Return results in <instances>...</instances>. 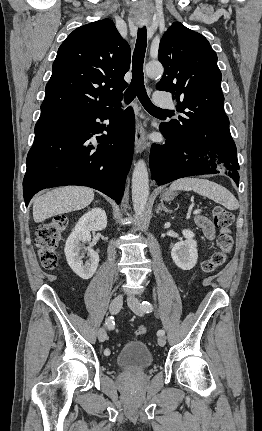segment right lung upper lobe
I'll use <instances>...</instances> for the list:
<instances>
[{
	"label": "right lung upper lobe",
	"mask_w": 262,
	"mask_h": 431,
	"mask_svg": "<svg viewBox=\"0 0 262 431\" xmlns=\"http://www.w3.org/2000/svg\"><path fill=\"white\" fill-rule=\"evenodd\" d=\"M131 50L113 21L75 29L61 44L41 115L98 113L120 105Z\"/></svg>",
	"instance_id": "right-lung-upper-lobe-1"
}]
</instances>
